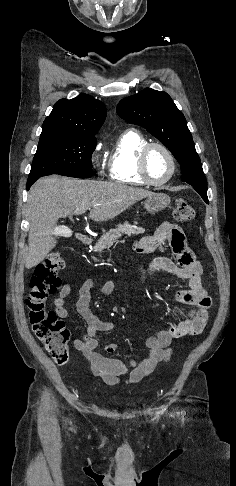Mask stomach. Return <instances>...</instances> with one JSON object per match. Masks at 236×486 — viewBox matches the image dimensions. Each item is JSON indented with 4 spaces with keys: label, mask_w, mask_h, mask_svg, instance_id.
<instances>
[{
    "label": "stomach",
    "mask_w": 236,
    "mask_h": 486,
    "mask_svg": "<svg viewBox=\"0 0 236 486\" xmlns=\"http://www.w3.org/2000/svg\"><path fill=\"white\" fill-rule=\"evenodd\" d=\"M171 199L165 193H153L144 201V207L148 213L154 214L164 210L170 204Z\"/></svg>",
    "instance_id": "stomach-1"
}]
</instances>
